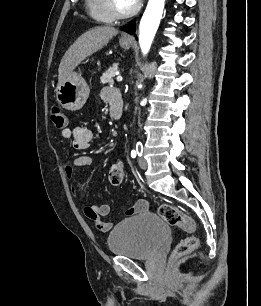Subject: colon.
Instances as JSON below:
<instances>
[{
	"mask_svg": "<svg viewBox=\"0 0 261 306\" xmlns=\"http://www.w3.org/2000/svg\"><path fill=\"white\" fill-rule=\"evenodd\" d=\"M50 118L57 130H65L67 127V118L65 113L59 107H53L50 112ZM125 174V166L122 161H116L109 169V181L112 185L121 184ZM158 214L161 218L171 226L179 227L185 232L191 234L182 239L173 252V258L177 259L190 251L194 250L198 245V239L192 234L195 231L194 220L183 213L175 206L169 204H161L158 207Z\"/></svg>",
	"mask_w": 261,
	"mask_h": 306,
	"instance_id": "5ec220e1",
	"label": "colon"
}]
</instances>
